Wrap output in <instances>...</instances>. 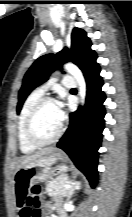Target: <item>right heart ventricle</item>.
Returning a JSON list of instances; mask_svg holds the SVG:
<instances>
[{
	"label": "right heart ventricle",
	"mask_w": 132,
	"mask_h": 217,
	"mask_svg": "<svg viewBox=\"0 0 132 217\" xmlns=\"http://www.w3.org/2000/svg\"><path fill=\"white\" fill-rule=\"evenodd\" d=\"M43 96H44V93L38 89L32 91L25 99L21 113H20V117L18 121L17 137H18V143H19L20 150L24 154L32 153L38 148L28 142L26 135H25V125H26L27 118L32 108L35 106V104L40 99L43 98Z\"/></svg>",
	"instance_id": "obj_1"
}]
</instances>
